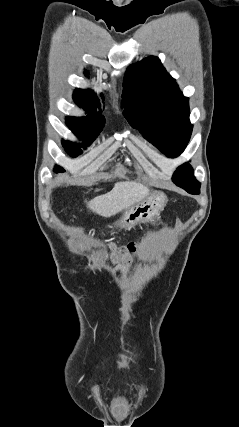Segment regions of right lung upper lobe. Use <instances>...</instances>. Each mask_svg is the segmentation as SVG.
Here are the masks:
<instances>
[{"instance_id": "cb5924a9", "label": "right lung upper lobe", "mask_w": 239, "mask_h": 427, "mask_svg": "<svg viewBox=\"0 0 239 427\" xmlns=\"http://www.w3.org/2000/svg\"><path fill=\"white\" fill-rule=\"evenodd\" d=\"M88 71H85V75L88 76ZM103 98V96H102ZM73 100L74 102L82 107L84 110H86L90 115V116H102L99 115L98 113H96V108L100 107V102L99 99L97 97V95L89 90H81V89H76L74 94H73Z\"/></svg>"}]
</instances>
